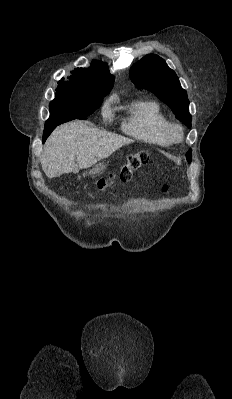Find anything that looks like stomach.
Instances as JSON below:
<instances>
[{
  "label": "stomach",
  "instance_id": "stomach-1",
  "mask_svg": "<svg viewBox=\"0 0 232 399\" xmlns=\"http://www.w3.org/2000/svg\"><path fill=\"white\" fill-rule=\"evenodd\" d=\"M107 166L108 162H100V164H95V166L91 168L90 172H88V176L95 178V176H98V174H102V172L106 170Z\"/></svg>",
  "mask_w": 232,
  "mask_h": 399
}]
</instances>
